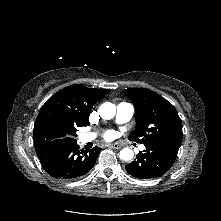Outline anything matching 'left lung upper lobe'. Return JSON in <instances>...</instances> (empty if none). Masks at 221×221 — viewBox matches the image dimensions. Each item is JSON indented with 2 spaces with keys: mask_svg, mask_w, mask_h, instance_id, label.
Returning a JSON list of instances; mask_svg holds the SVG:
<instances>
[{
  "mask_svg": "<svg viewBox=\"0 0 221 221\" xmlns=\"http://www.w3.org/2000/svg\"><path fill=\"white\" fill-rule=\"evenodd\" d=\"M124 94L135 106L136 129L129 140L144 145L165 143L180 146L182 123L169 101L146 88L127 89Z\"/></svg>",
  "mask_w": 221,
  "mask_h": 221,
  "instance_id": "obj_1",
  "label": "left lung upper lobe"
}]
</instances>
